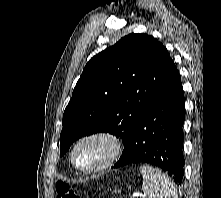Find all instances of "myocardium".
Instances as JSON below:
<instances>
[{
	"label": "myocardium",
	"mask_w": 221,
	"mask_h": 198,
	"mask_svg": "<svg viewBox=\"0 0 221 198\" xmlns=\"http://www.w3.org/2000/svg\"><path fill=\"white\" fill-rule=\"evenodd\" d=\"M92 140H100L105 142L108 146V153L98 165L91 168L80 167L75 161L76 151L81 144ZM122 148L123 146L120 138L110 131L98 130L89 132L79 137L73 144L70 153L71 164L77 171L81 173L95 174L112 166L120 157Z\"/></svg>",
	"instance_id": "1"
}]
</instances>
